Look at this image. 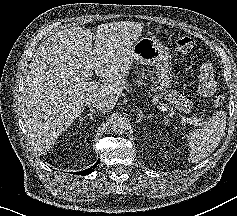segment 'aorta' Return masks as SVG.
<instances>
[{
    "instance_id": "aorta-1",
    "label": "aorta",
    "mask_w": 237,
    "mask_h": 216,
    "mask_svg": "<svg viewBox=\"0 0 237 216\" xmlns=\"http://www.w3.org/2000/svg\"><path fill=\"white\" fill-rule=\"evenodd\" d=\"M128 129L127 120L121 115L115 116L112 121V130L115 133L123 134Z\"/></svg>"
}]
</instances>
